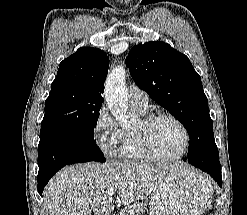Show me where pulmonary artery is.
I'll return each instance as SVG.
<instances>
[{
  "instance_id": "1",
  "label": "pulmonary artery",
  "mask_w": 247,
  "mask_h": 215,
  "mask_svg": "<svg viewBox=\"0 0 247 215\" xmlns=\"http://www.w3.org/2000/svg\"><path fill=\"white\" fill-rule=\"evenodd\" d=\"M129 98L133 107L146 110L148 106V95L136 85L129 86Z\"/></svg>"
}]
</instances>
